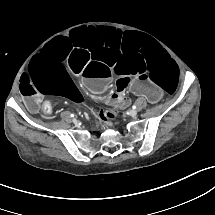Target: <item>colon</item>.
<instances>
[{
  "instance_id": "colon-1",
  "label": "colon",
  "mask_w": 215,
  "mask_h": 215,
  "mask_svg": "<svg viewBox=\"0 0 215 215\" xmlns=\"http://www.w3.org/2000/svg\"><path fill=\"white\" fill-rule=\"evenodd\" d=\"M43 112L45 115H50L52 113V105L51 102L46 100L43 102ZM105 117H113L116 115L115 111H105L102 112Z\"/></svg>"
}]
</instances>
